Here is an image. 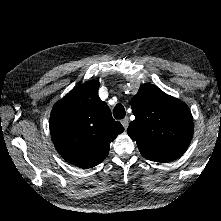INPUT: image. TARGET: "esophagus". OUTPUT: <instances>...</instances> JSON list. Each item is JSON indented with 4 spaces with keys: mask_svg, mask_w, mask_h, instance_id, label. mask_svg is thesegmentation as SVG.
Masks as SVG:
<instances>
[{
    "mask_svg": "<svg viewBox=\"0 0 221 221\" xmlns=\"http://www.w3.org/2000/svg\"><path fill=\"white\" fill-rule=\"evenodd\" d=\"M121 124L123 125L124 129L126 130L129 125V119L125 118L121 121Z\"/></svg>",
    "mask_w": 221,
    "mask_h": 221,
    "instance_id": "obj_1",
    "label": "esophagus"
}]
</instances>
